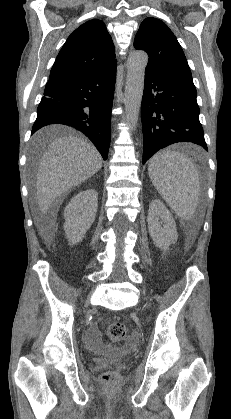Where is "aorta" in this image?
I'll return each mask as SVG.
<instances>
[{"label":"aorta","instance_id":"762f6f07","mask_svg":"<svg viewBox=\"0 0 231 419\" xmlns=\"http://www.w3.org/2000/svg\"><path fill=\"white\" fill-rule=\"evenodd\" d=\"M147 63L148 55L144 51L132 52L127 60L125 111L127 123L131 131L135 130L138 122Z\"/></svg>","mask_w":231,"mask_h":419}]
</instances>
